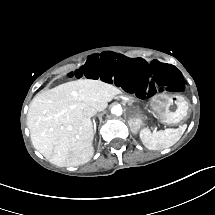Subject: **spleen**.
I'll return each instance as SVG.
<instances>
[{"label": "spleen", "instance_id": "spleen-1", "mask_svg": "<svg viewBox=\"0 0 215 215\" xmlns=\"http://www.w3.org/2000/svg\"><path fill=\"white\" fill-rule=\"evenodd\" d=\"M181 138L179 128H166L152 133L149 127L140 130V139L146 148L160 150L173 146Z\"/></svg>", "mask_w": 215, "mask_h": 215}]
</instances>
